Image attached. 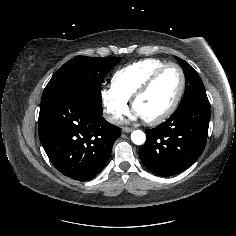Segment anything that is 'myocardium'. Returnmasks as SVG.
Listing matches in <instances>:
<instances>
[{
    "label": "myocardium",
    "instance_id": "f54148a6",
    "mask_svg": "<svg viewBox=\"0 0 236 236\" xmlns=\"http://www.w3.org/2000/svg\"><path fill=\"white\" fill-rule=\"evenodd\" d=\"M175 68L177 69V71L179 72L180 75V87H179V91L175 97V99L172 101V103L170 104V106L163 112L161 113L159 116L153 118V119H143L144 122L148 125L151 126H155V125H159L161 123H163L164 121H166L177 109L183 95H184V91L186 88V76L184 73L183 68L176 63H167L164 66H162L161 68H159L158 70H156L143 84L142 86L135 92V94L132 97L131 100V105H132V109L135 111V106L136 103L138 101V99L140 97H142L144 94H146L150 88L152 87V85L156 82V80L168 69V68Z\"/></svg>",
    "mask_w": 236,
    "mask_h": 236
}]
</instances>
